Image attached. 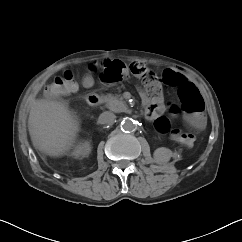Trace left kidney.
Instances as JSON below:
<instances>
[{
    "instance_id": "left-kidney-1",
    "label": "left kidney",
    "mask_w": 242,
    "mask_h": 242,
    "mask_svg": "<svg viewBox=\"0 0 242 242\" xmlns=\"http://www.w3.org/2000/svg\"><path fill=\"white\" fill-rule=\"evenodd\" d=\"M172 156V152L165 147L157 148L154 152V159L159 164L167 163Z\"/></svg>"
}]
</instances>
